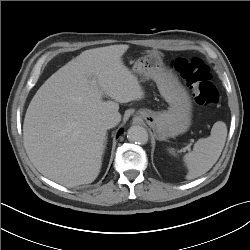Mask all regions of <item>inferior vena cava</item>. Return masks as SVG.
I'll list each match as a JSON object with an SVG mask.
<instances>
[{
  "label": "inferior vena cava",
  "instance_id": "602c4592",
  "mask_svg": "<svg viewBox=\"0 0 250 250\" xmlns=\"http://www.w3.org/2000/svg\"><path fill=\"white\" fill-rule=\"evenodd\" d=\"M120 122V115L109 114L102 119V125L106 129L115 127Z\"/></svg>",
  "mask_w": 250,
  "mask_h": 250
}]
</instances>
